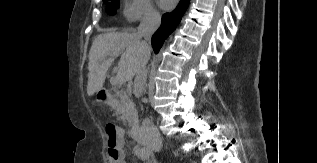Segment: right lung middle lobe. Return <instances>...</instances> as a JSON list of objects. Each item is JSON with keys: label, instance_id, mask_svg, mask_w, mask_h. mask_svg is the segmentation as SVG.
I'll list each match as a JSON object with an SVG mask.
<instances>
[{"label": "right lung middle lobe", "instance_id": "dd1d6c3e", "mask_svg": "<svg viewBox=\"0 0 317 163\" xmlns=\"http://www.w3.org/2000/svg\"><path fill=\"white\" fill-rule=\"evenodd\" d=\"M105 3H107V12L111 15H114L116 13V8L119 6V0H103Z\"/></svg>", "mask_w": 317, "mask_h": 163}]
</instances>
